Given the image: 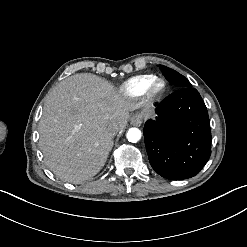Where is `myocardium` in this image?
<instances>
[{
	"label": "myocardium",
	"instance_id": "1",
	"mask_svg": "<svg viewBox=\"0 0 247 247\" xmlns=\"http://www.w3.org/2000/svg\"><path fill=\"white\" fill-rule=\"evenodd\" d=\"M160 84L161 88L157 89V85ZM166 91V82L162 78H155L148 82L143 92V102L151 103L160 99Z\"/></svg>",
	"mask_w": 247,
	"mask_h": 247
}]
</instances>
